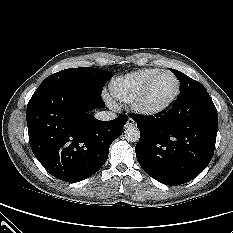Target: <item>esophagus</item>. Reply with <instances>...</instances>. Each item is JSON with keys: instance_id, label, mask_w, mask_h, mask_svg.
I'll list each match as a JSON object with an SVG mask.
<instances>
[{"instance_id": "34e87169", "label": "esophagus", "mask_w": 233, "mask_h": 233, "mask_svg": "<svg viewBox=\"0 0 233 233\" xmlns=\"http://www.w3.org/2000/svg\"><path fill=\"white\" fill-rule=\"evenodd\" d=\"M135 125H136V122L133 119L129 118L125 124V127L128 128V127H132Z\"/></svg>"}]
</instances>
